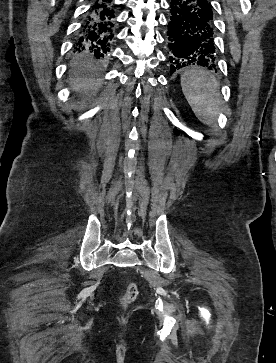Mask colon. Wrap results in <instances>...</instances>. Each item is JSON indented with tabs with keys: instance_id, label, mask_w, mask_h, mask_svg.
Returning <instances> with one entry per match:
<instances>
[{
	"instance_id": "obj_1",
	"label": "colon",
	"mask_w": 276,
	"mask_h": 363,
	"mask_svg": "<svg viewBox=\"0 0 276 363\" xmlns=\"http://www.w3.org/2000/svg\"><path fill=\"white\" fill-rule=\"evenodd\" d=\"M137 295L138 290L136 284L133 282L128 283L121 298L122 304L124 306L130 304L136 299Z\"/></svg>"
}]
</instances>
